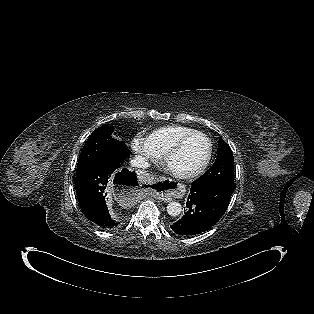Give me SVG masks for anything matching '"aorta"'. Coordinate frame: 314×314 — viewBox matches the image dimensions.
<instances>
[{"label":"aorta","mask_w":314,"mask_h":314,"mask_svg":"<svg viewBox=\"0 0 314 314\" xmlns=\"http://www.w3.org/2000/svg\"><path fill=\"white\" fill-rule=\"evenodd\" d=\"M181 211L182 206L179 202L172 201L167 205V213L172 217L179 216Z\"/></svg>","instance_id":"762f6f07"}]
</instances>
